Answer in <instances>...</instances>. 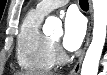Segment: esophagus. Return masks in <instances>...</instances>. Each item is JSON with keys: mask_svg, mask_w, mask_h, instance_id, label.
<instances>
[{"mask_svg": "<svg viewBox=\"0 0 107 75\" xmlns=\"http://www.w3.org/2000/svg\"><path fill=\"white\" fill-rule=\"evenodd\" d=\"M89 6H90L89 16H88L89 24H88V32H87V36H86L85 46H84V49H83L77 63L75 64V66L73 67V69L70 71V73L68 75H78L79 74L80 69H81V64H82V61L84 58L85 50L90 41V33H91V27H92V21H93L91 1H89Z\"/></svg>", "mask_w": 107, "mask_h": 75, "instance_id": "1", "label": "esophagus"}]
</instances>
